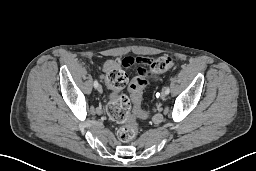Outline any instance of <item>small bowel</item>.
<instances>
[{"mask_svg": "<svg viewBox=\"0 0 256 171\" xmlns=\"http://www.w3.org/2000/svg\"><path fill=\"white\" fill-rule=\"evenodd\" d=\"M150 63L151 59L149 58L129 55L121 60H107L103 64V71L108 74L114 69H131L133 66L139 65L138 72L140 75L144 76L150 74V71L146 68ZM139 116L144 118L146 114H139Z\"/></svg>", "mask_w": 256, "mask_h": 171, "instance_id": "obj_1", "label": "small bowel"}]
</instances>
